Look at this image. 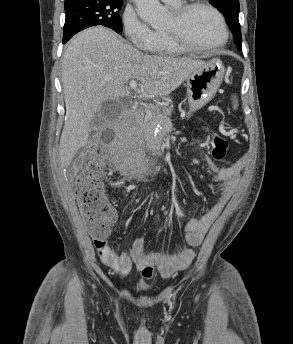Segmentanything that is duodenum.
<instances>
[{
  "mask_svg": "<svg viewBox=\"0 0 293 344\" xmlns=\"http://www.w3.org/2000/svg\"><path fill=\"white\" fill-rule=\"evenodd\" d=\"M132 120L129 114H124L118 121V125H122L125 122H130Z\"/></svg>",
  "mask_w": 293,
  "mask_h": 344,
  "instance_id": "410a0bca",
  "label": "duodenum"
}]
</instances>
